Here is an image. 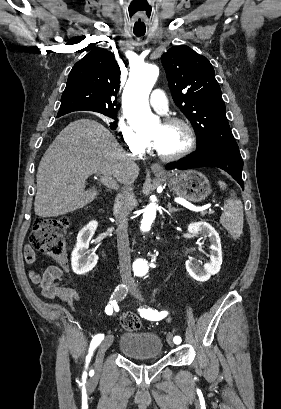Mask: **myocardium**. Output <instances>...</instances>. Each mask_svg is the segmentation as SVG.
<instances>
[{"mask_svg":"<svg viewBox=\"0 0 281 409\" xmlns=\"http://www.w3.org/2000/svg\"><path fill=\"white\" fill-rule=\"evenodd\" d=\"M161 124L164 126H169V125H174V124L180 125L184 128L187 134L186 145L180 151L173 153V154H165V153L160 152L147 140V145L149 149H151L161 160L167 161V162L177 161V160H180L186 157L193 151L196 145V133L192 125L187 120L180 118V117L173 116V117L165 118L161 122Z\"/></svg>","mask_w":281,"mask_h":409,"instance_id":"obj_1","label":"myocardium"}]
</instances>
